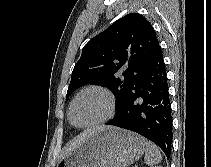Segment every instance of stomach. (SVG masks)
Instances as JSON below:
<instances>
[{"instance_id": "obj_1", "label": "stomach", "mask_w": 211, "mask_h": 167, "mask_svg": "<svg viewBox=\"0 0 211 167\" xmlns=\"http://www.w3.org/2000/svg\"><path fill=\"white\" fill-rule=\"evenodd\" d=\"M146 140L127 130L107 127L67 153L57 167H129L144 154Z\"/></svg>"}]
</instances>
